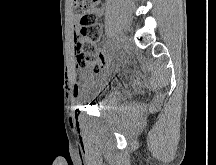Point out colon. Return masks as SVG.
<instances>
[{
    "mask_svg": "<svg viewBox=\"0 0 216 165\" xmlns=\"http://www.w3.org/2000/svg\"><path fill=\"white\" fill-rule=\"evenodd\" d=\"M102 3L103 0H74L79 14V28L75 33L76 66L91 73L100 72L107 59L95 47L101 34L95 10Z\"/></svg>",
    "mask_w": 216,
    "mask_h": 165,
    "instance_id": "colon-1",
    "label": "colon"
}]
</instances>
